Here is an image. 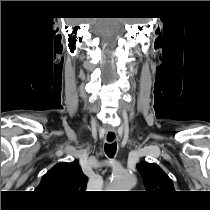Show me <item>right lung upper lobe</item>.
I'll return each instance as SVG.
<instances>
[{"mask_svg": "<svg viewBox=\"0 0 210 210\" xmlns=\"http://www.w3.org/2000/svg\"><path fill=\"white\" fill-rule=\"evenodd\" d=\"M88 177L84 175L78 161L61 162L50 169L36 188L45 197L57 202H66L77 198L86 188Z\"/></svg>", "mask_w": 210, "mask_h": 210, "instance_id": "1", "label": "right lung upper lobe"}]
</instances>
